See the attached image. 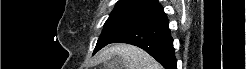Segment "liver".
I'll list each match as a JSON object with an SVG mask.
<instances>
[{"mask_svg": "<svg viewBox=\"0 0 246 69\" xmlns=\"http://www.w3.org/2000/svg\"><path fill=\"white\" fill-rule=\"evenodd\" d=\"M114 55L120 57L117 69H162L161 65L144 50L128 45L116 44L101 52L99 60L107 63Z\"/></svg>", "mask_w": 246, "mask_h": 69, "instance_id": "liver-1", "label": "liver"}]
</instances>
